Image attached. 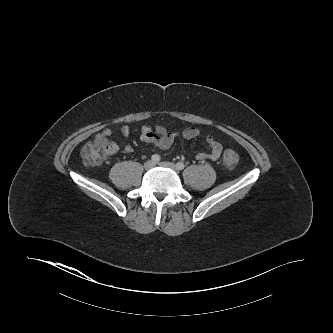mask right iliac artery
<instances>
[{
	"label": "right iliac artery",
	"mask_w": 333,
	"mask_h": 333,
	"mask_svg": "<svg viewBox=\"0 0 333 333\" xmlns=\"http://www.w3.org/2000/svg\"><path fill=\"white\" fill-rule=\"evenodd\" d=\"M161 160V157L158 154H154L151 157V161L154 163H158Z\"/></svg>",
	"instance_id": "right-iliac-artery-1"
}]
</instances>
